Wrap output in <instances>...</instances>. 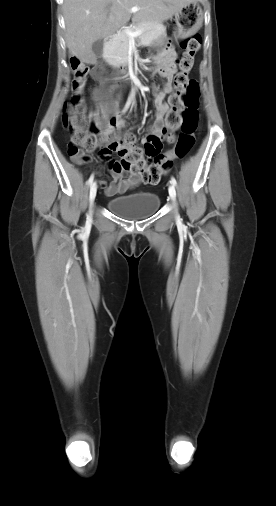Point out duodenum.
I'll return each mask as SVG.
<instances>
[{
	"instance_id": "duodenum-1",
	"label": "duodenum",
	"mask_w": 276,
	"mask_h": 506,
	"mask_svg": "<svg viewBox=\"0 0 276 506\" xmlns=\"http://www.w3.org/2000/svg\"><path fill=\"white\" fill-rule=\"evenodd\" d=\"M114 38H115L114 35L107 36L104 40L105 46H109L113 42ZM121 73L123 74L124 77H129L128 71L124 70L123 68L121 69Z\"/></svg>"
}]
</instances>
